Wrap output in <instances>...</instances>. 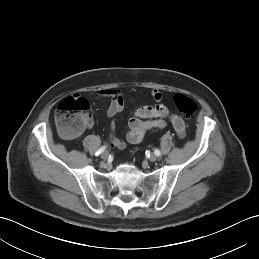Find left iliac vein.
I'll return each mask as SVG.
<instances>
[{
	"label": "left iliac vein",
	"instance_id": "4c4485c4",
	"mask_svg": "<svg viewBox=\"0 0 259 259\" xmlns=\"http://www.w3.org/2000/svg\"><path fill=\"white\" fill-rule=\"evenodd\" d=\"M156 160H157V156H156L155 154H151V155L149 156V161L155 162Z\"/></svg>",
	"mask_w": 259,
	"mask_h": 259
}]
</instances>
